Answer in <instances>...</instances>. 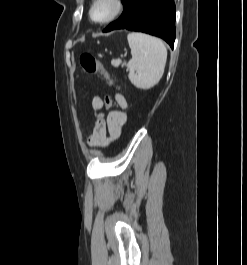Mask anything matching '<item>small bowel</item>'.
Listing matches in <instances>:
<instances>
[{
    "label": "small bowel",
    "instance_id": "small-bowel-1",
    "mask_svg": "<svg viewBox=\"0 0 247 265\" xmlns=\"http://www.w3.org/2000/svg\"><path fill=\"white\" fill-rule=\"evenodd\" d=\"M115 100L120 109L114 110L105 118L101 110L105 108L104 99L100 96L93 97L92 109L98 113L93 132L88 139V144L93 147H104L110 141L117 139L127 121V101L121 94H116Z\"/></svg>",
    "mask_w": 247,
    "mask_h": 265
}]
</instances>
